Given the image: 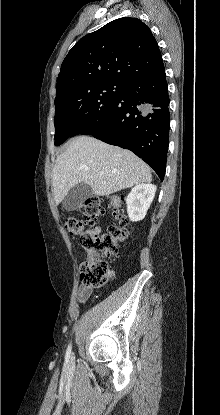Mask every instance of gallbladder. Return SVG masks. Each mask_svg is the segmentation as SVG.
Masks as SVG:
<instances>
[{
	"label": "gallbladder",
	"instance_id": "gallbladder-1",
	"mask_svg": "<svg viewBox=\"0 0 220 415\" xmlns=\"http://www.w3.org/2000/svg\"><path fill=\"white\" fill-rule=\"evenodd\" d=\"M92 195V189L86 183L75 185L62 201V206L67 211L77 210L83 202Z\"/></svg>",
	"mask_w": 220,
	"mask_h": 415
}]
</instances>
